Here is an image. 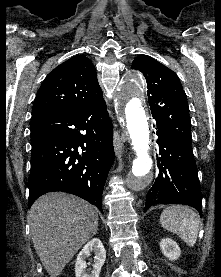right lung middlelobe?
Instances as JSON below:
<instances>
[{
  "mask_svg": "<svg viewBox=\"0 0 221 277\" xmlns=\"http://www.w3.org/2000/svg\"><path fill=\"white\" fill-rule=\"evenodd\" d=\"M34 135V133L33 132H31V136H33Z\"/></svg>",
  "mask_w": 221,
  "mask_h": 277,
  "instance_id": "obj_1",
  "label": "right lung middle lobe"
}]
</instances>
